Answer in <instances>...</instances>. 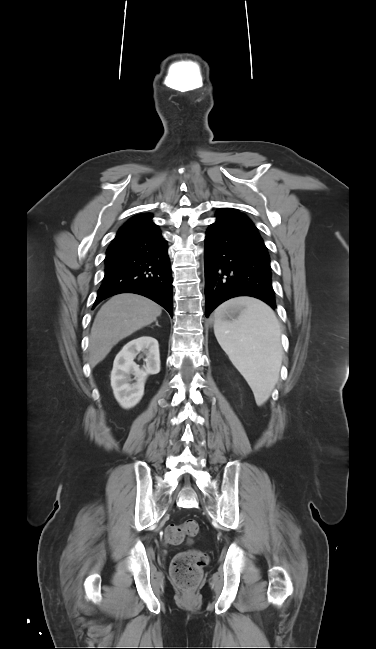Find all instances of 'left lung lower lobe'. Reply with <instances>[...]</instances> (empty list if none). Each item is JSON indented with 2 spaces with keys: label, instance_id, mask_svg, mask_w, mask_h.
<instances>
[{
  "label": "left lung lower lobe",
  "instance_id": "obj_1",
  "mask_svg": "<svg viewBox=\"0 0 376 649\" xmlns=\"http://www.w3.org/2000/svg\"><path fill=\"white\" fill-rule=\"evenodd\" d=\"M205 316L237 296L261 299L276 308L267 248L255 226L217 217L205 238Z\"/></svg>",
  "mask_w": 376,
  "mask_h": 649
}]
</instances>
